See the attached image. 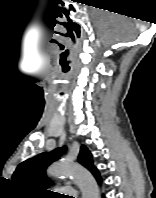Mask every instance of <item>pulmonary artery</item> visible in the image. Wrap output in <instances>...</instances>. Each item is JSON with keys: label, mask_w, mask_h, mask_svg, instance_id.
Instances as JSON below:
<instances>
[{"label": "pulmonary artery", "mask_w": 156, "mask_h": 198, "mask_svg": "<svg viewBox=\"0 0 156 198\" xmlns=\"http://www.w3.org/2000/svg\"><path fill=\"white\" fill-rule=\"evenodd\" d=\"M60 190L65 191V192H70L73 189L71 187H69V186H62V187H60Z\"/></svg>", "instance_id": "1"}]
</instances>
